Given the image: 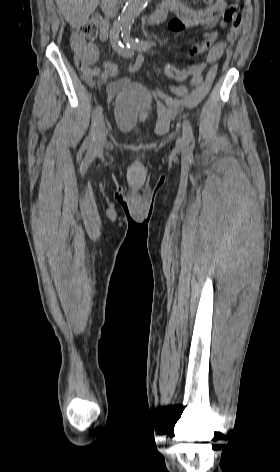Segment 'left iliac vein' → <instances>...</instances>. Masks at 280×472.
<instances>
[{
    "mask_svg": "<svg viewBox=\"0 0 280 472\" xmlns=\"http://www.w3.org/2000/svg\"><path fill=\"white\" fill-rule=\"evenodd\" d=\"M185 146L186 142L182 138H179L176 144L177 149L182 150L185 148Z\"/></svg>",
    "mask_w": 280,
    "mask_h": 472,
    "instance_id": "1",
    "label": "left iliac vein"
}]
</instances>
